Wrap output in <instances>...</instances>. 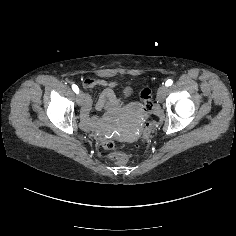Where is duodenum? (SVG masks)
I'll return each instance as SVG.
<instances>
[{
    "label": "duodenum",
    "instance_id": "obj_1",
    "mask_svg": "<svg viewBox=\"0 0 236 236\" xmlns=\"http://www.w3.org/2000/svg\"><path fill=\"white\" fill-rule=\"evenodd\" d=\"M117 104H118V101L114 93L110 90L104 91L99 98L97 107L99 109L106 108L107 112L105 113L103 117L91 118L89 117V114H88L91 107V100L90 98L87 97L85 100L84 109H83L82 118H81V122L83 126L86 129H90V130L102 126L103 124L106 123L109 117L115 113L117 109Z\"/></svg>",
    "mask_w": 236,
    "mask_h": 236
}]
</instances>
